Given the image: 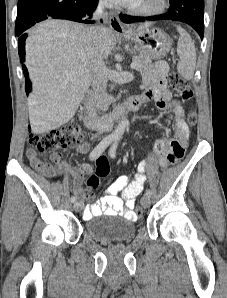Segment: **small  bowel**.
<instances>
[{
  "mask_svg": "<svg viewBox=\"0 0 227 298\" xmlns=\"http://www.w3.org/2000/svg\"><path fill=\"white\" fill-rule=\"evenodd\" d=\"M167 72V64L163 61L157 62L154 70L145 80L146 89L140 97L144 103L154 101L160 111L171 110L173 113L175 137L157 139L155 153L158 155L161 166L177 167V162L183 159L190 132L184 120L182 105L166 88ZM88 150V143H81L77 146V151L80 153H86ZM26 155L32 167L46 176L53 177L62 173L70 175L74 193L82 202L91 197V193L82 188L83 177L93 170L90 164H83L79 168L70 167L61 161V153L52 154L50 157L52 163H46L39 158L33 148L27 149ZM146 168L147 162L142 161L133 180L126 175L119 176L97 201L85 208L83 218L89 220L101 215H120L129 220H135L136 214L133 209L137 196L143 190Z\"/></svg>",
  "mask_w": 227,
  "mask_h": 298,
  "instance_id": "small-bowel-1",
  "label": "small bowel"
}]
</instances>
